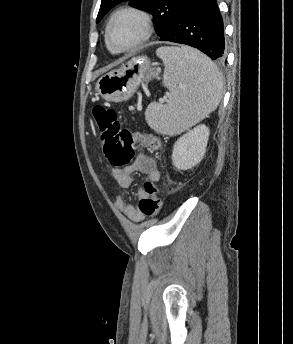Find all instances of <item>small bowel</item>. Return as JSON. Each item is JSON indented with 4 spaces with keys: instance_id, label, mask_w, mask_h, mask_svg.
I'll use <instances>...</instances> for the list:
<instances>
[{
    "instance_id": "small-bowel-1",
    "label": "small bowel",
    "mask_w": 293,
    "mask_h": 344,
    "mask_svg": "<svg viewBox=\"0 0 293 344\" xmlns=\"http://www.w3.org/2000/svg\"><path fill=\"white\" fill-rule=\"evenodd\" d=\"M140 172L149 177L150 180L158 182L161 178L160 170L156 162L148 155L140 153L135 161L122 169H115L113 177L118 183L119 187L123 190L128 189L133 183V174ZM144 190L138 191V198L141 200L146 197ZM118 209L123 212L129 219L140 222L145 216L140 212L139 207L127 202L124 198H120L117 202Z\"/></svg>"
}]
</instances>
